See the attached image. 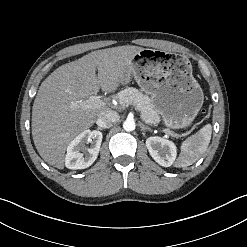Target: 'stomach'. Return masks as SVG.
<instances>
[{
  "instance_id": "0dacf381",
  "label": "stomach",
  "mask_w": 247,
  "mask_h": 247,
  "mask_svg": "<svg viewBox=\"0 0 247 247\" xmlns=\"http://www.w3.org/2000/svg\"><path fill=\"white\" fill-rule=\"evenodd\" d=\"M134 78L150 95L164 126L182 129L192 124L203 105V92L185 57L153 49L138 52L125 67L121 84Z\"/></svg>"
}]
</instances>
